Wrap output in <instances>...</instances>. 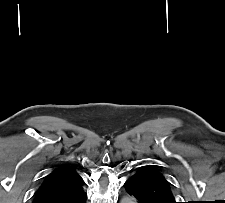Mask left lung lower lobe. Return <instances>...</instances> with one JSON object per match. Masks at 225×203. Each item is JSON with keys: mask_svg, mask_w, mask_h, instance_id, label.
I'll return each instance as SVG.
<instances>
[{"mask_svg": "<svg viewBox=\"0 0 225 203\" xmlns=\"http://www.w3.org/2000/svg\"><path fill=\"white\" fill-rule=\"evenodd\" d=\"M124 188L129 195L136 199L138 203H154L153 201H149L144 198L138 188L134 186L129 179L124 183Z\"/></svg>", "mask_w": 225, "mask_h": 203, "instance_id": "0a47b994", "label": "left lung lower lobe"}]
</instances>
